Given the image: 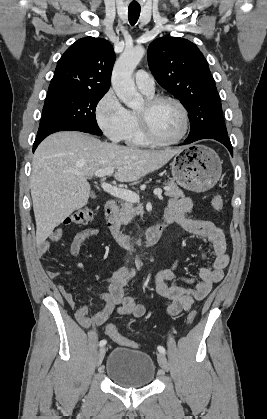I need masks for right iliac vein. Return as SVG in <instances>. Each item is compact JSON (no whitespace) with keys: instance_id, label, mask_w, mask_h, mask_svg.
<instances>
[{"instance_id":"1","label":"right iliac vein","mask_w":267,"mask_h":419,"mask_svg":"<svg viewBox=\"0 0 267 419\" xmlns=\"http://www.w3.org/2000/svg\"><path fill=\"white\" fill-rule=\"evenodd\" d=\"M105 352H106V348L105 347H101L99 349L98 354H97V357H96V364H97V366H99L102 363L103 358L105 356Z\"/></svg>"}]
</instances>
